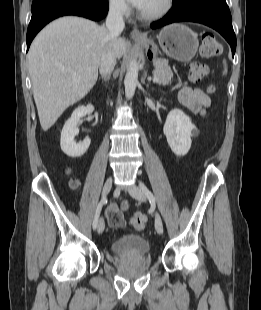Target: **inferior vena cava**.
<instances>
[{"instance_id":"obj_1","label":"inferior vena cava","mask_w":261,"mask_h":310,"mask_svg":"<svg viewBox=\"0 0 261 310\" xmlns=\"http://www.w3.org/2000/svg\"><path fill=\"white\" fill-rule=\"evenodd\" d=\"M124 5L121 3L112 4L110 6L107 19L106 28L109 31L111 39L117 38L125 27L123 19ZM116 65V56L110 48V45L106 48L100 61L99 71L102 77L109 76Z\"/></svg>"}]
</instances>
